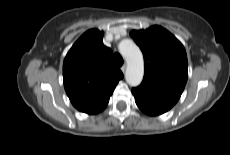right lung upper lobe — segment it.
Listing matches in <instances>:
<instances>
[{"label":"right lung upper lobe","instance_id":"cb5924a9","mask_svg":"<svg viewBox=\"0 0 230 155\" xmlns=\"http://www.w3.org/2000/svg\"><path fill=\"white\" fill-rule=\"evenodd\" d=\"M103 32L91 29L72 46L63 62L65 91L76 109L97 114L105 109L121 70L111 61L112 51L102 42Z\"/></svg>","mask_w":230,"mask_h":155}]
</instances>
